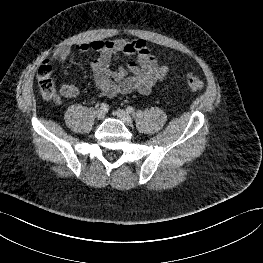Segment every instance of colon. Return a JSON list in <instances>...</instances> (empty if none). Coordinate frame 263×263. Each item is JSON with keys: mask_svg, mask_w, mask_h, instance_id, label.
Masks as SVG:
<instances>
[{"mask_svg": "<svg viewBox=\"0 0 263 263\" xmlns=\"http://www.w3.org/2000/svg\"><path fill=\"white\" fill-rule=\"evenodd\" d=\"M37 82L39 91L43 97L52 98L55 96V78L48 60L44 61L39 67L37 71ZM186 83L192 91H199L203 87L202 79L193 73L187 74Z\"/></svg>", "mask_w": 263, "mask_h": 263, "instance_id": "colon-1", "label": "colon"}]
</instances>
